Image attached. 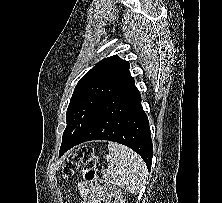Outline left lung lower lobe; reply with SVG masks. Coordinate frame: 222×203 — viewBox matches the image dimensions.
I'll return each mask as SVG.
<instances>
[{
	"instance_id": "obj_1",
	"label": "left lung lower lobe",
	"mask_w": 222,
	"mask_h": 203,
	"mask_svg": "<svg viewBox=\"0 0 222 203\" xmlns=\"http://www.w3.org/2000/svg\"><path fill=\"white\" fill-rule=\"evenodd\" d=\"M134 78L126 81L109 96L81 133L61 146L59 156L75 145L90 140H109L128 146L151 168L153 147L148 118L141 106Z\"/></svg>"
}]
</instances>
